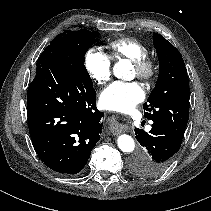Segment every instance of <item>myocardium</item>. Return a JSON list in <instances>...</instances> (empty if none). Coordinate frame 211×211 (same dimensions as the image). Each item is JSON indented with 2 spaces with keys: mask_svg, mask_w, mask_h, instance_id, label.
Masks as SVG:
<instances>
[{
  "mask_svg": "<svg viewBox=\"0 0 211 211\" xmlns=\"http://www.w3.org/2000/svg\"><path fill=\"white\" fill-rule=\"evenodd\" d=\"M138 77L144 81H150L156 74V63L153 59L144 56L133 61Z\"/></svg>",
  "mask_w": 211,
  "mask_h": 211,
  "instance_id": "f54148a6",
  "label": "myocardium"
}]
</instances>
